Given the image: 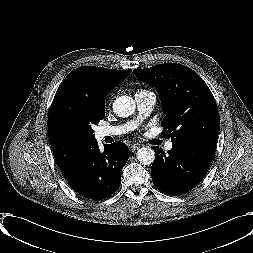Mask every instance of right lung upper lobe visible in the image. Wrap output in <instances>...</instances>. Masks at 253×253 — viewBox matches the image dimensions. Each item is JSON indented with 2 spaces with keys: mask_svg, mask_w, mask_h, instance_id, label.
<instances>
[{
  "mask_svg": "<svg viewBox=\"0 0 253 253\" xmlns=\"http://www.w3.org/2000/svg\"><path fill=\"white\" fill-rule=\"evenodd\" d=\"M130 70L83 66L73 70L54 96L48 123L49 140L64 177L75 172L97 142L87 130L88 109L105 107V97Z\"/></svg>",
  "mask_w": 253,
  "mask_h": 253,
  "instance_id": "obj_1",
  "label": "right lung upper lobe"
}]
</instances>
